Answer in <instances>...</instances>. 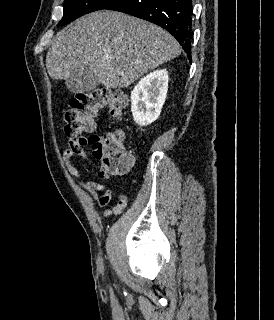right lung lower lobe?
<instances>
[{
	"instance_id": "obj_1",
	"label": "right lung lower lobe",
	"mask_w": 274,
	"mask_h": 320,
	"mask_svg": "<svg viewBox=\"0 0 274 320\" xmlns=\"http://www.w3.org/2000/svg\"><path fill=\"white\" fill-rule=\"evenodd\" d=\"M103 9L130 14L163 27L182 45L191 61L192 0H114Z\"/></svg>"
}]
</instances>
